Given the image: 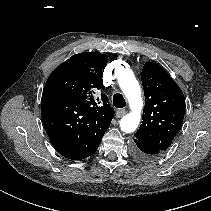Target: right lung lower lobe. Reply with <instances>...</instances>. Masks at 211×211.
Wrapping results in <instances>:
<instances>
[{"label":"right lung lower lobe","mask_w":211,"mask_h":211,"mask_svg":"<svg viewBox=\"0 0 211 211\" xmlns=\"http://www.w3.org/2000/svg\"><path fill=\"white\" fill-rule=\"evenodd\" d=\"M41 116L54 148L73 160L95 153L109 127L94 117L83 116L75 99L50 91H43Z\"/></svg>","instance_id":"1"}]
</instances>
